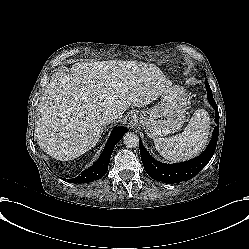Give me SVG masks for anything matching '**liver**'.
<instances>
[{
    "label": "liver",
    "instance_id": "1",
    "mask_svg": "<svg viewBox=\"0 0 249 249\" xmlns=\"http://www.w3.org/2000/svg\"><path fill=\"white\" fill-rule=\"evenodd\" d=\"M155 66L123 61L78 63L55 75L37 108L38 145L58 160L75 159L94 147L110 112L120 118L130 107H144L167 89Z\"/></svg>",
    "mask_w": 249,
    "mask_h": 249
}]
</instances>
